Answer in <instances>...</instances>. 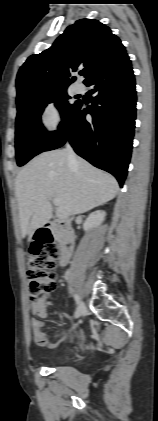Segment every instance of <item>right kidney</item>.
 Segmentation results:
<instances>
[{"label": "right kidney", "instance_id": "obj_1", "mask_svg": "<svg viewBox=\"0 0 158 421\" xmlns=\"http://www.w3.org/2000/svg\"><path fill=\"white\" fill-rule=\"evenodd\" d=\"M106 213L104 211H96L91 213L83 224L85 231L98 227L105 219Z\"/></svg>", "mask_w": 158, "mask_h": 421}]
</instances>
